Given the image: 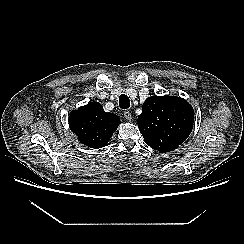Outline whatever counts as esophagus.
<instances>
[{
    "label": "esophagus",
    "mask_w": 244,
    "mask_h": 244,
    "mask_svg": "<svg viewBox=\"0 0 244 244\" xmlns=\"http://www.w3.org/2000/svg\"><path fill=\"white\" fill-rule=\"evenodd\" d=\"M123 115H124V118L126 120L131 121L132 115H131V113L128 110H125L124 113H123Z\"/></svg>",
    "instance_id": "1"
}]
</instances>
